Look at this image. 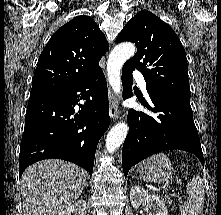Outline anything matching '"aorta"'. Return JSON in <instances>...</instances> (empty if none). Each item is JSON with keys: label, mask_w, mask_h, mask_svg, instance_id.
Here are the masks:
<instances>
[{"label": "aorta", "mask_w": 221, "mask_h": 215, "mask_svg": "<svg viewBox=\"0 0 221 215\" xmlns=\"http://www.w3.org/2000/svg\"><path fill=\"white\" fill-rule=\"evenodd\" d=\"M136 52L132 43H121L111 51L107 61V76L109 84L116 94H121V69L124 63ZM128 124L119 122L114 125L106 137V150L113 153L125 140L128 133Z\"/></svg>", "instance_id": "obj_1"}]
</instances>
